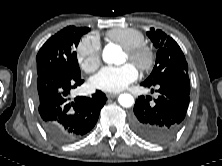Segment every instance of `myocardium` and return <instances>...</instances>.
I'll return each instance as SVG.
<instances>
[{"mask_svg":"<svg viewBox=\"0 0 222 166\" xmlns=\"http://www.w3.org/2000/svg\"><path fill=\"white\" fill-rule=\"evenodd\" d=\"M130 61L136 64L142 71L149 70L154 61L152 51L145 45H138L126 49Z\"/></svg>","mask_w":222,"mask_h":166,"instance_id":"myocardium-1","label":"myocardium"}]
</instances>
